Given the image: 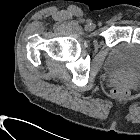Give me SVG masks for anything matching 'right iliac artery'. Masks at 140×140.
Returning <instances> with one entry per match:
<instances>
[{
    "instance_id": "obj_1",
    "label": "right iliac artery",
    "mask_w": 140,
    "mask_h": 140,
    "mask_svg": "<svg viewBox=\"0 0 140 140\" xmlns=\"http://www.w3.org/2000/svg\"><path fill=\"white\" fill-rule=\"evenodd\" d=\"M87 24H91V21H90V20H88V21H87Z\"/></svg>"
}]
</instances>
